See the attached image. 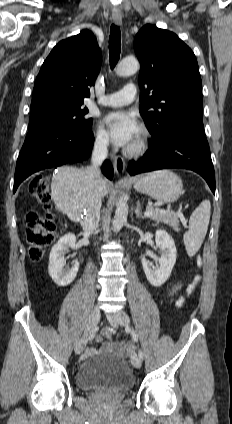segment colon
Wrapping results in <instances>:
<instances>
[{"instance_id": "1", "label": "colon", "mask_w": 232, "mask_h": 424, "mask_svg": "<svg viewBox=\"0 0 232 424\" xmlns=\"http://www.w3.org/2000/svg\"><path fill=\"white\" fill-rule=\"evenodd\" d=\"M31 195L44 206L48 205L50 196L43 178H34L29 184ZM54 223L49 214H40L29 211L26 214V241L29 247V257L32 261H39L44 255L45 249L54 240ZM181 287V283H175L168 292L173 296ZM117 347L122 352H127L130 345L127 340H118Z\"/></svg>"}]
</instances>
